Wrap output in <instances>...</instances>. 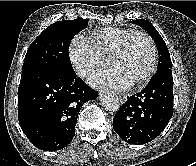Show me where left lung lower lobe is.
<instances>
[{"mask_svg":"<svg viewBox=\"0 0 196 166\" xmlns=\"http://www.w3.org/2000/svg\"><path fill=\"white\" fill-rule=\"evenodd\" d=\"M172 115V70L165 69L156 72L141 92L128 97L113 118V128L129 144H143L155 139Z\"/></svg>","mask_w":196,"mask_h":166,"instance_id":"left-lung-lower-lobe-1","label":"left lung lower lobe"}]
</instances>
